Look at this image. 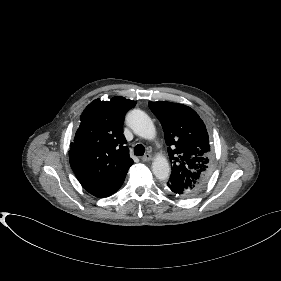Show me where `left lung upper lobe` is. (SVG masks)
<instances>
[{"instance_id": "5c2ea615", "label": "left lung upper lobe", "mask_w": 281, "mask_h": 281, "mask_svg": "<svg viewBox=\"0 0 281 281\" xmlns=\"http://www.w3.org/2000/svg\"><path fill=\"white\" fill-rule=\"evenodd\" d=\"M168 145L171 170L167 184L197 194L208 181L213 157L206 127L190 107L172 102H149Z\"/></svg>"}]
</instances>
